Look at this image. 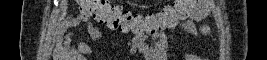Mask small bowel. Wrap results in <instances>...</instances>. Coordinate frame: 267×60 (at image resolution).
I'll list each match as a JSON object with an SVG mask.
<instances>
[{
  "mask_svg": "<svg viewBox=\"0 0 267 60\" xmlns=\"http://www.w3.org/2000/svg\"><path fill=\"white\" fill-rule=\"evenodd\" d=\"M211 10V1L209 0H189L186 13L180 23L168 33H159L146 35L139 33L128 43L129 52L132 55H140L145 60H166L167 48L169 43L180 45L178 33L183 32L198 38L210 33L207 25L201 24V21L208 16ZM83 24L86 27L88 36L91 40L102 39V33L91 18L82 14H77L66 19L64 28L60 35L62 36L61 47L69 53L76 56H86L91 53V47L87 42L79 41L71 44L72 34L67 32L70 28ZM186 60H200L201 58L191 52L183 51Z\"/></svg>",
  "mask_w": 267,
  "mask_h": 60,
  "instance_id": "obj_1",
  "label": "small bowel"
}]
</instances>
